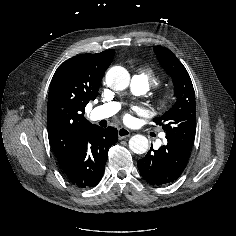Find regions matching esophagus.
I'll use <instances>...</instances> for the list:
<instances>
[{
	"instance_id": "obj_1",
	"label": "esophagus",
	"mask_w": 236,
	"mask_h": 236,
	"mask_svg": "<svg viewBox=\"0 0 236 236\" xmlns=\"http://www.w3.org/2000/svg\"><path fill=\"white\" fill-rule=\"evenodd\" d=\"M130 134H131V132L127 128L121 127L118 129V136L120 139L129 137Z\"/></svg>"
}]
</instances>
